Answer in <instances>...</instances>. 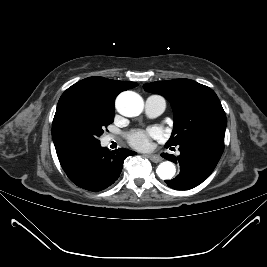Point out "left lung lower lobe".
Segmentation results:
<instances>
[{"instance_id":"1","label":"left lung lower lobe","mask_w":267,"mask_h":267,"mask_svg":"<svg viewBox=\"0 0 267 267\" xmlns=\"http://www.w3.org/2000/svg\"><path fill=\"white\" fill-rule=\"evenodd\" d=\"M224 150V143L202 140L179 146L180 155L162 153L165 159L180 164V173L165 181L176 190H188L202 183L216 167Z\"/></svg>"}]
</instances>
